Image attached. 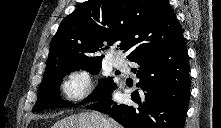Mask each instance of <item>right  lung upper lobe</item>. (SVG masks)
<instances>
[{"label":"right lung upper lobe","mask_w":221,"mask_h":128,"mask_svg":"<svg viewBox=\"0 0 221 128\" xmlns=\"http://www.w3.org/2000/svg\"><path fill=\"white\" fill-rule=\"evenodd\" d=\"M182 39L167 0H88L61 22L51 41L47 67L71 60H102V52L116 43L132 60Z\"/></svg>","instance_id":"cb5924a9"}]
</instances>
